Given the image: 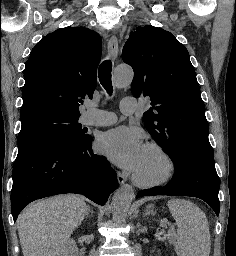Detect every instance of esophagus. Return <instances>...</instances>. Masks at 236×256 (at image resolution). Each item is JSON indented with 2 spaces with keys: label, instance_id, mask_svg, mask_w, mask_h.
<instances>
[{
  "label": "esophagus",
  "instance_id": "34e87169",
  "mask_svg": "<svg viewBox=\"0 0 236 256\" xmlns=\"http://www.w3.org/2000/svg\"><path fill=\"white\" fill-rule=\"evenodd\" d=\"M118 55V40L115 35H112L108 41V56L115 60ZM117 179L120 184H124L126 182L127 177L124 176L120 171L117 172Z\"/></svg>",
  "mask_w": 236,
  "mask_h": 256
}]
</instances>
